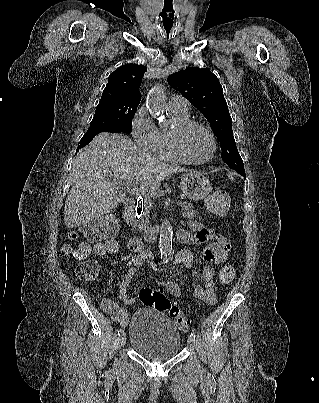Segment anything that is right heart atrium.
I'll return each instance as SVG.
<instances>
[{"label":"right heart atrium","mask_w":319,"mask_h":403,"mask_svg":"<svg viewBox=\"0 0 319 403\" xmlns=\"http://www.w3.org/2000/svg\"><path fill=\"white\" fill-rule=\"evenodd\" d=\"M131 134L135 143L144 151L156 154L158 129L149 117L145 106L139 107L131 119Z\"/></svg>","instance_id":"d8ad5b80"}]
</instances>
